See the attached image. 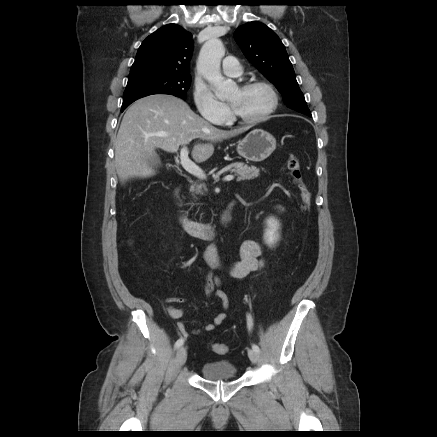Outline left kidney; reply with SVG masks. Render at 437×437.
Listing matches in <instances>:
<instances>
[{
	"label": "left kidney",
	"mask_w": 437,
	"mask_h": 437,
	"mask_svg": "<svg viewBox=\"0 0 437 437\" xmlns=\"http://www.w3.org/2000/svg\"><path fill=\"white\" fill-rule=\"evenodd\" d=\"M267 229L265 230L264 239L268 245H273L279 239L278 229L279 223L274 218H269L266 221Z\"/></svg>",
	"instance_id": "obj_1"
}]
</instances>
